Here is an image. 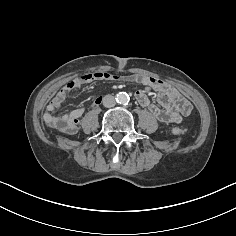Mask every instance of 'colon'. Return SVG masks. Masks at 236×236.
<instances>
[{
  "instance_id": "colon-1",
  "label": "colon",
  "mask_w": 236,
  "mask_h": 236,
  "mask_svg": "<svg viewBox=\"0 0 236 236\" xmlns=\"http://www.w3.org/2000/svg\"><path fill=\"white\" fill-rule=\"evenodd\" d=\"M109 73L105 72V73H102L101 75L104 76V77H107ZM173 133L175 134H182V130L178 129V128H175L173 129Z\"/></svg>"
}]
</instances>
